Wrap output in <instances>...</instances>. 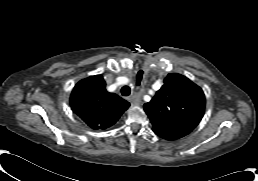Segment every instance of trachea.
I'll return each mask as SVG.
<instances>
[{
  "instance_id": "obj_1",
  "label": "trachea",
  "mask_w": 258,
  "mask_h": 181,
  "mask_svg": "<svg viewBox=\"0 0 258 181\" xmlns=\"http://www.w3.org/2000/svg\"><path fill=\"white\" fill-rule=\"evenodd\" d=\"M121 93L123 96H129L131 93L130 87L129 86H123L121 88Z\"/></svg>"
}]
</instances>
